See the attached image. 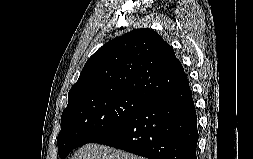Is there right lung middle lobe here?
Listing matches in <instances>:
<instances>
[{"instance_id":"dd1d6c3e","label":"right lung middle lobe","mask_w":253,"mask_h":159,"mask_svg":"<svg viewBox=\"0 0 253 159\" xmlns=\"http://www.w3.org/2000/svg\"><path fill=\"white\" fill-rule=\"evenodd\" d=\"M150 100L130 94H100L73 100L61 116V131L57 138L59 156L109 132L145 106Z\"/></svg>"}]
</instances>
